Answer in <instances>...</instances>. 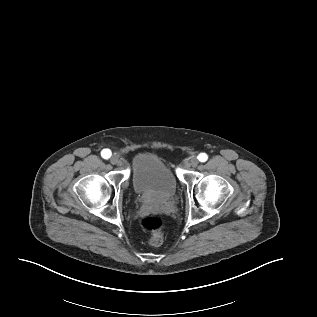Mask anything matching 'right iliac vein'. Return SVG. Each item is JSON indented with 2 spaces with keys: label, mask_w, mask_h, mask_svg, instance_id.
I'll return each instance as SVG.
<instances>
[{
  "label": "right iliac vein",
  "mask_w": 317,
  "mask_h": 317,
  "mask_svg": "<svg viewBox=\"0 0 317 317\" xmlns=\"http://www.w3.org/2000/svg\"><path fill=\"white\" fill-rule=\"evenodd\" d=\"M110 162H111V164H113V165L119 164V163H120L119 157L116 156V155H113V156L110 158Z\"/></svg>",
  "instance_id": "63e3f726"
}]
</instances>
